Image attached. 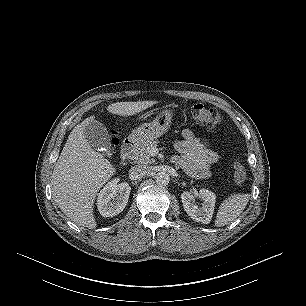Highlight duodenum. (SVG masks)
<instances>
[{
  "instance_id": "obj_1",
  "label": "duodenum",
  "mask_w": 306,
  "mask_h": 306,
  "mask_svg": "<svg viewBox=\"0 0 306 306\" xmlns=\"http://www.w3.org/2000/svg\"><path fill=\"white\" fill-rule=\"evenodd\" d=\"M134 148H135V142L132 140H126L121 147V152H120L121 159L122 160L128 159L133 153Z\"/></svg>"
}]
</instances>
